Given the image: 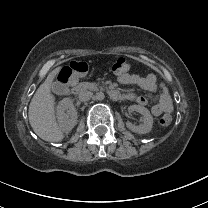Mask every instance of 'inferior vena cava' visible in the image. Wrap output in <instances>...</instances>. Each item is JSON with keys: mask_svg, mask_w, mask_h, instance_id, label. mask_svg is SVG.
Returning a JSON list of instances; mask_svg holds the SVG:
<instances>
[{"mask_svg": "<svg viewBox=\"0 0 208 208\" xmlns=\"http://www.w3.org/2000/svg\"><path fill=\"white\" fill-rule=\"evenodd\" d=\"M93 96V93L87 90H83L79 93V100L80 101H89Z\"/></svg>", "mask_w": 208, "mask_h": 208, "instance_id": "obj_1", "label": "inferior vena cava"}]
</instances>
